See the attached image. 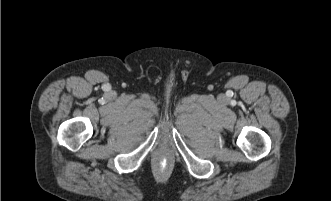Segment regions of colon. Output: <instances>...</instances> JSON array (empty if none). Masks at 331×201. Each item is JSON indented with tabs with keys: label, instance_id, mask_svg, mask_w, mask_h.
Returning a JSON list of instances; mask_svg holds the SVG:
<instances>
[{
	"label": "colon",
	"instance_id": "1",
	"mask_svg": "<svg viewBox=\"0 0 331 201\" xmlns=\"http://www.w3.org/2000/svg\"><path fill=\"white\" fill-rule=\"evenodd\" d=\"M158 165L161 168H167L169 165V160L165 157H162L161 159L158 160Z\"/></svg>",
	"mask_w": 331,
	"mask_h": 201
}]
</instances>
